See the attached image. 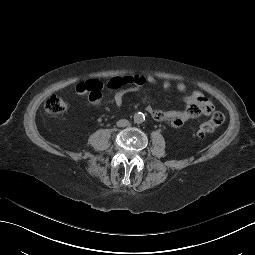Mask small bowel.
<instances>
[{
  "label": "small bowel",
  "instance_id": "small-bowel-1",
  "mask_svg": "<svg viewBox=\"0 0 255 255\" xmlns=\"http://www.w3.org/2000/svg\"><path fill=\"white\" fill-rule=\"evenodd\" d=\"M145 83L155 85L158 80L153 76H122L110 79L106 84L90 79L80 82L75 87V92L78 95H87L89 101L96 105L99 104L102 98V91L107 89L116 90L114 95V103L116 106H121L124 97L129 92H134L140 89ZM127 86V88H125ZM160 86L168 90L172 84L168 80L160 83ZM176 90L180 93L186 91V85L182 82L177 83ZM185 109L182 111H162L147 106V112L152 118L158 122H166L173 128L181 127L186 121L198 118L201 115H210L214 110L213 103L206 98L200 91H193L184 98Z\"/></svg>",
  "mask_w": 255,
  "mask_h": 255
}]
</instances>
